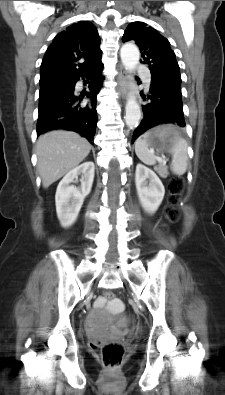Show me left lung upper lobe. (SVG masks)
I'll list each match as a JSON object with an SVG mask.
<instances>
[{"instance_id":"left-lung-upper-lobe-1","label":"left lung upper lobe","mask_w":225,"mask_h":395,"mask_svg":"<svg viewBox=\"0 0 225 395\" xmlns=\"http://www.w3.org/2000/svg\"><path fill=\"white\" fill-rule=\"evenodd\" d=\"M135 41L141 51L152 76H160L181 82L179 65L169 41L157 30L144 22H133L128 25L122 41Z\"/></svg>"}]
</instances>
